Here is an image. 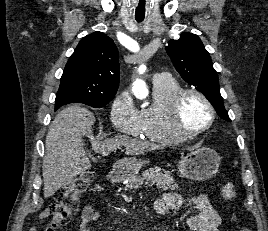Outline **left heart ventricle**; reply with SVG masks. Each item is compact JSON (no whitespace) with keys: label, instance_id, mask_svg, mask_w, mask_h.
I'll list each match as a JSON object with an SVG mask.
<instances>
[{"label":"left heart ventricle","instance_id":"b2bd125f","mask_svg":"<svg viewBox=\"0 0 268 231\" xmlns=\"http://www.w3.org/2000/svg\"><path fill=\"white\" fill-rule=\"evenodd\" d=\"M210 112L205 103L195 95H188L181 105L180 126L185 131H194L205 125Z\"/></svg>","mask_w":268,"mask_h":231}]
</instances>
